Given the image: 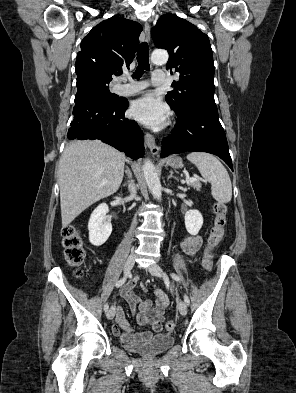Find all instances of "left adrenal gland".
Instances as JSON below:
<instances>
[{"instance_id":"left-adrenal-gland-1","label":"left adrenal gland","mask_w":296,"mask_h":393,"mask_svg":"<svg viewBox=\"0 0 296 393\" xmlns=\"http://www.w3.org/2000/svg\"><path fill=\"white\" fill-rule=\"evenodd\" d=\"M170 178H173V179H176V180H178V178H177V177L173 176V171H170V174H169V176H168L167 180H169Z\"/></svg>"}]
</instances>
